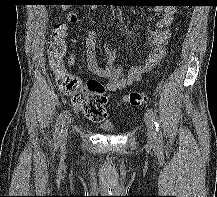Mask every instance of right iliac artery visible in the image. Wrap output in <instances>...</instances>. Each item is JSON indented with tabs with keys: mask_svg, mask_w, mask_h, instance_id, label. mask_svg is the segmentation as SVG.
<instances>
[{
	"mask_svg": "<svg viewBox=\"0 0 217 197\" xmlns=\"http://www.w3.org/2000/svg\"><path fill=\"white\" fill-rule=\"evenodd\" d=\"M67 115H68V111H65V112L61 113L57 119L56 128H55V132H54V146L55 147L60 143L62 132H63V127L65 124V120L67 118Z\"/></svg>",
	"mask_w": 217,
	"mask_h": 197,
	"instance_id": "82829eb1",
	"label": "right iliac artery"
}]
</instances>
